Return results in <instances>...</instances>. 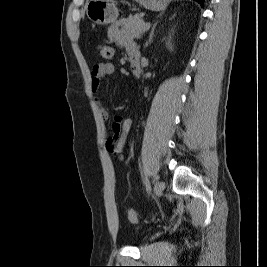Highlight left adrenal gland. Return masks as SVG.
I'll return each mask as SVG.
<instances>
[{"instance_id":"left-adrenal-gland-1","label":"left adrenal gland","mask_w":267,"mask_h":267,"mask_svg":"<svg viewBox=\"0 0 267 267\" xmlns=\"http://www.w3.org/2000/svg\"><path fill=\"white\" fill-rule=\"evenodd\" d=\"M157 23H158V22H156V23L153 25V27H152V29H151V31H150L149 39H148V41L146 42V45L151 44V43L153 42V37L155 36L154 32H155Z\"/></svg>"}]
</instances>
